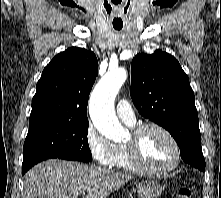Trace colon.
Returning <instances> with one entry per match:
<instances>
[{
    "instance_id": "1",
    "label": "colon",
    "mask_w": 221,
    "mask_h": 198,
    "mask_svg": "<svg viewBox=\"0 0 221 198\" xmlns=\"http://www.w3.org/2000/svg\"><path fill=\"white\" fill-rule=\"evenodd\" d=\"M192 197V190L188 187H183L179 189L177 198H191Z\"/></svg>"
}]
</instances>
